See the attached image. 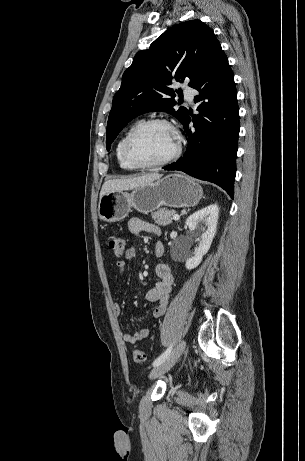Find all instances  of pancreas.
Here are the masks:
<instances>
[{"instance_id": "cf45deb5", "label": "pancreas", "mask_w": 305, "mask_h": 461, "mask_svg": "<svg viewBox=\"0 0 305 461\" xmlns=\"http://www.w3.org/2000/svg\"><path fill=\"white\" fill-rule=\"evenodd\" d=\"M175 214L174 210H168L166 208L159 209L156 212H152V219L156 224L166 226L172 223V216Z\"/></svg>"}]
</instances>
